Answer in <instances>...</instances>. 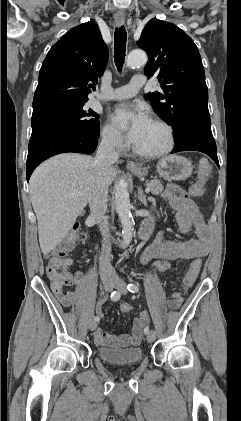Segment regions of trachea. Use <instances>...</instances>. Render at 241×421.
Segmentation results:
<instances>
[{
  "mask_svg": "<svg viewBox=\"0 0 241 421\" xmlns=\"http://www.w3.org/2000/svg\"><path fill=\"white\" fill-rule=\"evenodd\" d=\"M126 40L127 33L124 26L116 28L114 33V61L118 68V71H121L124 64Z\"/></svg>",
  "mask_w": 241,
  "mask_h": 421,
  "instance_id": "3493384b",
  "label": "trachea"
}]
</instances>
